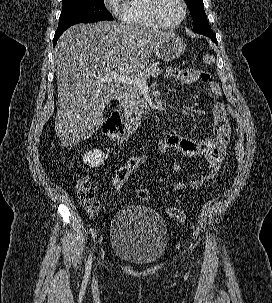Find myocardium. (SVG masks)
Returning a JSON list of instances; mask_svg holds the SVG:
<instances>
[{
	"instance_id": "myocardium-1",
	"label": "myocardium",
	"mask_w": 272,
	"mask_h": 303,
	"mask_svg": "<svg viewBox=\"0 0 272 303\" xmlns=\"http://www.w3.org/2000/svg\"><path fill=\"white\" fill-rule=\"evenodd\" d=\"M159 1L160 0H148L147 3L148 17L157 28L165 30L175 29L184 22L187 16V4L185 0H178L182 8V14L177 21L171 24H166L160 20L157 12Z\"/></svg>"
}]
</instances>
